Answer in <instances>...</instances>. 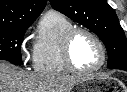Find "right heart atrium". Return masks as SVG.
Here are the masks:
<instances>
[{
	"mask_svg": "<svg viewBox=\"0 0 127 92\" xmlns=\"http://www.w3.org/2000/svg\"><path fill=\"white\" fill-rule=\"evenodd\" d=\"M21 56H22V60L23 61H26L27 60V54L24 50V47L22 46V52H21Z\"/></svg>",
	"mask_w": 127,
	"mask_h": 92,
	"instance_id": "1",
	"label": "right heart atrium"
}]
</instances>
